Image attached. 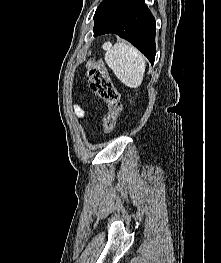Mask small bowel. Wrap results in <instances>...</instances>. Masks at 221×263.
<instances>
[{
    "label": "small bowel",
    "mask_w": 221,
    "mask_h": 263,
    "mask_svg": "<svg viewBox=\"0 0 221 263\" xmlns=\"http://www.w3.org/2000/svg\"><path fill=\"white\" fill-rule=\"evenodd\" d=\"M77 114H78L79 116H83V112H82V110L77 109Z\"/></svg>",
    "instance_id": "1"
}]
</instances>
